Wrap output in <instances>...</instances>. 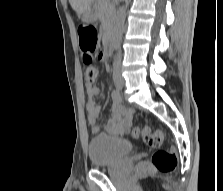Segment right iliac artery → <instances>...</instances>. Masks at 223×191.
Segmentation results:
<instances>
[{"label": "right iliac artery", "instance_id": "obj_1", "mask_svg": "<svg viewBox=\"0 0 223 191\" xmlns=\"http://www.w3.org/2000/svg\"><path fill=\"white\" fill-rule=\"evenodd\" d=\"M112 98L116 100H121V95L118 89L112 91Z\"/></svg>", "mask_w": 223, "mask_h": 191}]
</instances>
